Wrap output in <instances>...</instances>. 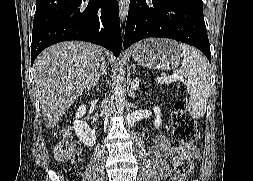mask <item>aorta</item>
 I'll return each mask as SVG.
<instances>
[{"label":"aorta","mask_w":253,"mask_h":181,"mask_svg":"<svg viewBox=\"0 0 253 181\" xmlns=\"http://www.w3.org/2000/svg\"><path fill=\"white\" fill-rule=\"evenodd\" d=\"M130 0H119V19L120 23L123 25L127 19L129 12ZM123 68L122 66L116 67V86L114 89V95L116 100V105L122 111L125 104V98L123 96V87H122V76Z\"/></svg>","instance_id":"obj_1"}]
</instances>
